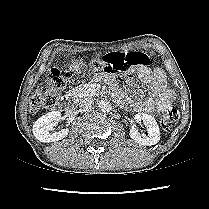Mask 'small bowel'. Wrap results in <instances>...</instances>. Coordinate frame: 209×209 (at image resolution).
I'll return each mask as SVG.
<instances>
[{
	"instance_id": "obj_1",
	"label": "small bowel",
	"mask_w": 209,
	"mask_h": 209,
	"mask_svg": "<svg viewBox=\"0 0 209 209\" xmlns=\"http://www.w3.org/2000/svg\"><path fill=\"white\" fill-rule=\"evenodd\" d=\"M140 81L146 86L148 97L135 101L132 108L137 112L161 114L169 109L175 101V93L167 87V79L161 68L151 69L147 65H140L136 71ZM98 80H104L114 84V77L107 74L97 76ZM114 95L119 101H125L124 93L114 87Z\"/></svg>"
}]
</instances>
